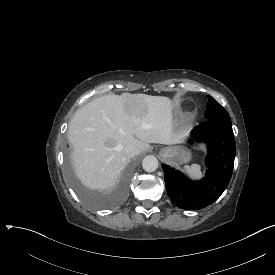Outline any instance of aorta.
Returning <instances> with one entry per match:
<instances>
[{
    "label": "aorta",
    "instance_id": "762f6f07",
    "mask_svg": "<svg viewBox=\"0 0 275 275\" xmlns=\"http://www.w3.org/2000/svg\"><path fill=\"white\" fill-rule=\"evenodd\" d=\"M142 166L146 172H154L158 168V160L155 156L148 155L143 159Z\"/></svg>",
    "mask_w": 275,
    "mask_h": 275
}]
</instances>
